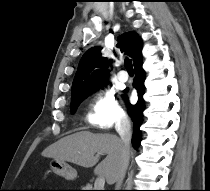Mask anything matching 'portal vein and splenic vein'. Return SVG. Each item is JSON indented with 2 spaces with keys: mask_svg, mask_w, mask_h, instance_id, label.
Returning a JSON list of instances; mask_svg holds the SVG:
<instances>
[{
  "mask_svg": "<svg viewBox=\"0 0 210 191\" xmlns=\"http://www.w3.org/2000/svg\"><path fill=\"white\" fill-rule=\"evenodd\" d=\"M105 184V178L103 176H99L96 180H95V190H102V188L104 187Z\"/></svg>",
  "mask_w": 210,
  "mask_h": 191,
  "instance_id": "1",
  "label": "portal vein and splenic vein"
}]
</instances>
